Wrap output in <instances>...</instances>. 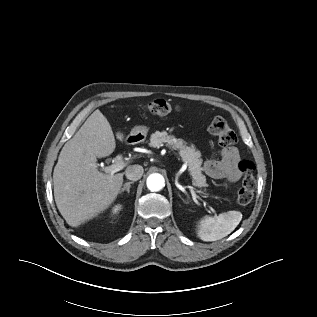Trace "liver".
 <instances>
[{
  "label": "liver",
  "instance_id": "liver-1",
  "mask_svg": "<svg viewBox=\"0 0 317 317\" xmlns=\"http://www.w3.org/2000/svg\"><path fill=\"white\" fill-rule=\"evenodd\" d=\"M116 137L124 139L120 132ZM115 147L112 128L100 110H95L63 146L53 172L54 198L71 227L95 217L115 201L123 173H102L97 164V158L111 155Z\"/></svg>",
  "mask_w": 317,
  "mask_h": 317
}]
</instances>
